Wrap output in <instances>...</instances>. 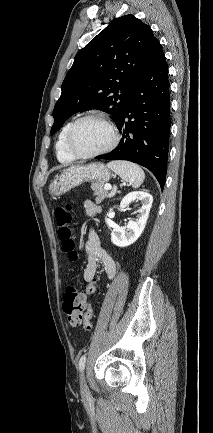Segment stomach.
Segmentation results:
<instances>
[{
	"instance_id": "stomach-1",
	"label": "stomach",
	"mask_w": 213,
	"mask_h": 433,
	"mask_svg": "<svg viewBox=\"0 0 213 433\" xmlns=\"http://www.w3.org/2000/svg\"><path fill=\"white\" fill-rule=\"evenodd\" d=\"M110 177L111 172L102 163L73 166L64 170L61 175L51 181L49 193L52 196H60L84 182H96L102 185L107 183Z\"/></svg>"
}]
</instances>
